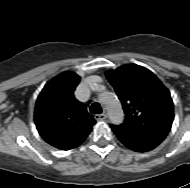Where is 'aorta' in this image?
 I'll use <instances>...</instances> for the list:
<instances>
[{"instance_id": "aorta-1", "label": "aorta", "mask_w": 190, "mask_h": 188, "mask_svg": "<svg viewBox=\"0 0 190 188\" xmlns=\"http://www.w3.org/2000/svg\"><path fill=\"white\" fill-rule=\"evenodd\" d=\"M100 102L107 111L110 121L119 124L124 119L122 106L118 98L112 92L105 91L100 96Z\"/></svg>"}]
</instances>
